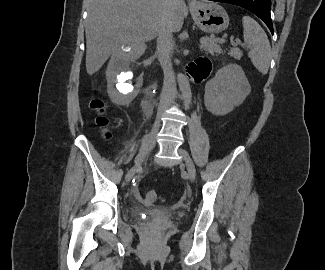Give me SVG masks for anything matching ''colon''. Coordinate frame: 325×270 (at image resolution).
I'll list each match as a JSON object with an SVG mask.
<instances>
[{
    "label": "colon",
    "mask_w": 325,
    "mask_h": 270,
    "mask_svg": "<svg viewBox=\"0 0 325 270\" xmlns=\"http://www.w3.org/2000/svg\"><path fill=\"white\" fill-rule=\"evenodd\" d=\"M91 107L98 112V117L96 119L97 124L100 127H105L107 125V118L104 116V103L99 99H93L91 101ZM159 199L158 194L154 190H148L145 193V202L153 203Z\"/></svg>",
    "instance_id": "1"
}]
</instances>
